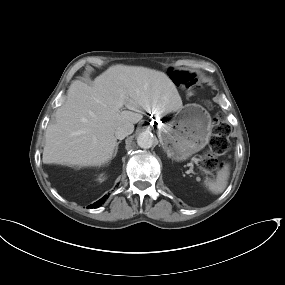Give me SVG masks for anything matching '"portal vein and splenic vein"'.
<instances>
[{
	"instance_id": "portal-vein-and-splenic-vein-1",
	"label": "portal vein and splenic vein",
	"mask_w": 285,
	"mask_h": 285,
	"mask_svg": "<svg viewBox=\"0 0 285 285\" xmlns=\"http://www.w3.org/2000/svg\"><path fill=\"white\" fill-rule=\"evenodd\" d=\"M192 161L197 164V163L199 162V159L193 157V158H192Z\"/></svg>"
}]
</instances>
